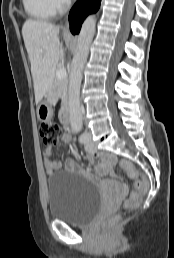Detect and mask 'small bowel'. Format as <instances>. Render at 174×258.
<instances>
[{"label": "small bowel", "instance_id": "small-bowel-1", "mask_svg": "<svg viewBox=\"0 0 174 258\" xmlns=\"http://www.w3.org/2000/svg\"><path fill=\"white\" fill-rule=\"evenodd\" d=\"M62 141L65 143L69 142V136L68 134L64 133L62 135ZM53 150L50 147H47L44 150V155L46 157L44 161L46 172L49 176H52L55 171L59 170L61 168V163L56 160H50L49 158L52 156ZM87 161L90 163H94L95 161L98 162L97 170L99 173L103 175H109L113 176L112 166L116 163V156L113 154H107V155H100L98 153H90L87 156ZM65 170L70 172H81L83 169L72 159L67 160L65 164ZM101 174H94L93 180L96 181L97 179H101Z\"/></svg>", "mask_w": 174, "mask_h": 258}]
</instances>
